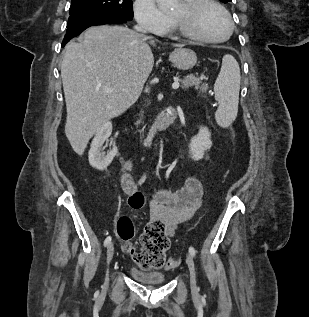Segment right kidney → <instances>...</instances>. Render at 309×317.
Listing matches in <instances>:
<instances>
[{
	"mask_svg": "<svg viewBox=\"0 0 309 317\" xmlns=\"http://www.w3.org/2000/svg\"><path fill=\"white\" fill-rule=\"evenodd\" d=\"M112 132V123L105 122L96 132L94 139L92 140L89 150V163L90 165L99 170H106L110 165L114 157L117 155L118 150L115 145L109 151L103 152L102 146L104 142L110 137Z\"/></svg>",
	"mask_w": 309,
	"mask_h": 317,
	"instance_id": "1",
	"label": "right kidney"
}]
</instances>
